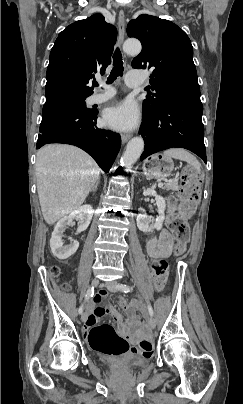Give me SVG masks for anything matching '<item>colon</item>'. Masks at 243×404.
I'll use <instances>...</instances> for the list:
<instances>
[{"instance_id": "1", "label": "colon", "mask_w": 243, "mask_h": 404, "mask_svg": "<svg viewBox=\"0 0 243 404\" xmlns=\"http://www.w3.org/2000/svg\"><path fill=\"white\" fill-rule=\"evenodd\" d=\"M200 177L193 166H186L181 176L180 202L171 199L167 224L173 236L170 252L181 254L189 241V226L187 217L195 210L200 196ZM50 274L57 277L60 274L58 267L53 266ZM168 278L167 262L157 259L152 265V280L156 290H162ZM119 306L127 313H133L131 306L125 299L118 301ZM90 347L104 355H121L128 351L127 341L121 337L111 324L104 323L94 326L88 333ZM139 349L144 355H151L153 343L149 339L141 340Z\"/></svg>"}]
</instances>
